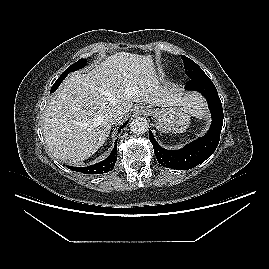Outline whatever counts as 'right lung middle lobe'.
Listing matches in <instances>:
<instances>
[{"label": "right lung middle lobe", "mask_w": 269, "mask_h": 269, "mask_svg": "<svg viewBox=\"0 0 269 269\" xmlns=\"http://www.w3.org/2000/svg\"><path fill=\"white\" fill-rule=\"evenodd\" d=\"M86 62H87L86 59H80L79 61L75 62L70 67H68L62 74L67 75L70 72H73V71H76V70H79V69L85 67Z\"/></svg>", "instance_id": "1"}]
</instances>
